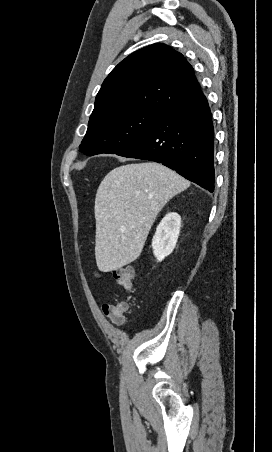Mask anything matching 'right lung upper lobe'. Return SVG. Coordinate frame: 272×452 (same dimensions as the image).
I'll use <instances>...</instances> for the list:
<instances>
[{
	"instance_id": "obj_1",
	"label": "right lung upper lobe",
	"mask_w": 272,
	"mask_h": 452,
	"mask_svg": "<svg viewBox=\"0 0 272 452\" xmlns=\"http://www.w3.org/2000/svg\"><path fill=\"white\" fill-rule=\"evenodd\" d=\"M200 90L192 66L163 43L133 52L104 80L90 120L145 109L170 112Z\"/></svg>"
}]
</instances>
